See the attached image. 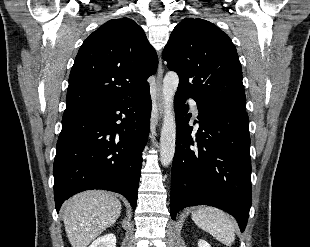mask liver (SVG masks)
Returning a JSON list of instances; mask_svg holds the SVG:
<instances>
[{"label":"liver","mask_w":310,"mask_h":247,"mask_svg":"<svg viewBox=\"0 0 310 247\" xmlns=\"http://www.w3.org/2000/svg\"><path fill=\"white\" fill-rule=\"evenodd\" d=\"M121 213L116 195L103 190H90L76 194L64 205L63 222L72 247H87Z\"/></svg>","instance_id":"6515ba94"}]
</instances>
